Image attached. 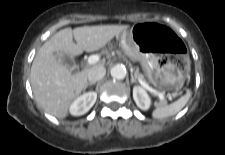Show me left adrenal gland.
<instances>
[{"mask_svg":"<svg viewBox=\"0 0 225 155\" xmlns=\"http://www.w3.org/2000/svg\"><path fill=\"white\" fill-rule=\"evenodd\" d=\"M131 83H137L136 78L134 77V75L131 73Z\"/></svg>","mask_w":225,"mask_h":155,"instance_id":"a2214340","label":"left adrenal gland"}]
</instances>
